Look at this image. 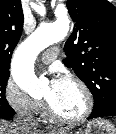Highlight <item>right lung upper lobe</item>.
<instances>
[{
	"instance_id": "1",
	"label": "right lung upper lobe",
	"mask_w": 116,
	"mask_h": 134,
	"mask_svg": "<svg viewBox=\"0 0 116 134\" xmlns=\"http://www.w3.org/2000/svg\"><path fill=\"white\" fill-rule=\"evenodd\" d=\"M21 0H0V72L9 71L11 56L22 33Z\"/></svg>"
}]
</instances>
